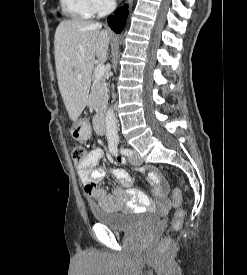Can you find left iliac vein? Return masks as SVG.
Instances as JSON below:
<instances>
[{
    "label": "left iliac vein",
    "instance_id": "1",
    "mask_svg": "<svg viewBox=\"0 0 247 275\" xmlns=\"http://www.w3.org/2000/svg\"><path fill=\"white\" fill-rule=\"evenodd\" d=\"M129 161L133 165H140L142 163L138 153L134 150H131V155L129 157Z\"/></svg>",
    "mask_w": 247,
    "mask_h": 275
}]
</instances>
